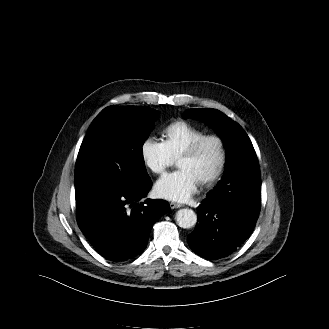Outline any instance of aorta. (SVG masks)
<instances>
[{
    "instance_id": "1",
    "label": "aorta",
    "mask_w": 329,
    "mask_h": 329,
    "mask_svg": "<svg viewBox=\"0 0 329 329\" xmlns=\"http://www.w3.org/2000/svg\"><path fill=\"white\" fill-rule=\"evenodd\" d=\"M176 221L181 228L188 229L197 222V215L191 209H180L176 213Z\"/></svg>"
}]
</instances>
